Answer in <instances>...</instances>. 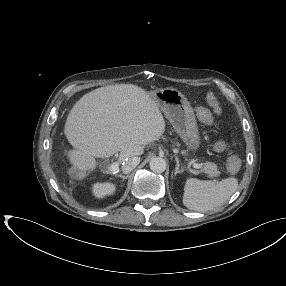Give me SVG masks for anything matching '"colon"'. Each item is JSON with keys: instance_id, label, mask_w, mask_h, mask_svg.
Masks as SVG:
<instances>
[{"instance_id": "obj_1", "label": "colon", "mask_w": 286, "mask_h": 286, "mask_svg": "<svg viewBox=\"0 0 286 286\" xmlns=\"http://www.w3.org/2000/svg\"><path fill=\"white\" fill-rule=\"evenodd\" d=\"M207 102H208V105H209L211 110L201 108L198 111V115H199V118L201 119L202 122L210 125L213 122L212 111L214 113H217L220 111V107H219V104L216 101L215 97L212 94H209L207 96ZM239 167H240L239 159L235 156L229 157L228 162H227L228 170L230 172H236L239 169Z\"/></svg>"}]
</instances>
